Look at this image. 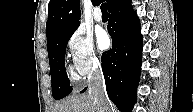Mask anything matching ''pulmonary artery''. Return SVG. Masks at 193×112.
I'll list each match as a JSON object with an SVG mask.
<instances>
[{
  "mask_svg": "<svg viewBox=\"0 0 193 112\" xmlns=\"http://www.w3.org/2000/svg\"><path fill=\"white\" fill-rule=\"evenodd\" d=\"M94 19L97 22H101L102 21V14H101L100 10H95V12H94Z\"/></svg>",
  "mask_w": 193,
  "mask_h": 112,
  "instance_id": "1",
  "label": "pulmonary artery"
}]
</instances>
